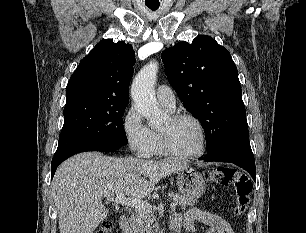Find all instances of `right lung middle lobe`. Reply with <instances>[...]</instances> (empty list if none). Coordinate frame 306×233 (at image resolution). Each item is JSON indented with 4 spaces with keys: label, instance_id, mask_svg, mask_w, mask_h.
Segmentation results:
<instances>
[{
    "label": "right lung middle lobe",
    "instance_id": "1",
    "mask_svg": "<svg viewBox=\"0 0 306 233\" xmlns=\"http://www.w3.org/2000/svg\"><path fill=\"white\" fill-rule=\"evenodd\" d=\"M128 102L80 99L66 103L55 155L85 145H126L122 116Z\"/></svg>",
    "mask_w": 306,
    "mask_h": 233
}]
</instances>
